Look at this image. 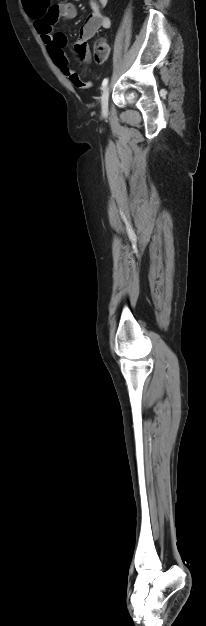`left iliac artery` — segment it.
<instances>
[{"instance_id": "44dca946", "label": "left iliac artery", "mask_w": 206, "mask_h": 626, "mask_svg": "<svg viewBox=\"0 0 206 626\" xmlns=\"http://www.w3.org/2000/svg\"><path fill=\"white\" fill-rule=\"evenodd\" d=\"M108 81H109V80H108V78H105V79L102 81V89H104V88L107 86Z\"/></svg>"}]
</instances>
